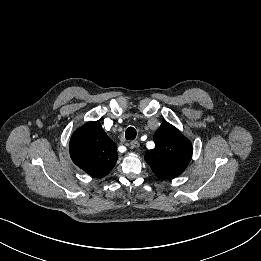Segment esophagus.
I'll use <instances>...</instances> for the list:
<instances>
[{"mask_svg":"<svg viewBox=\"0 0 261 261\" xmlns=\"http://www.w3.org/2000/svg\"><path fill=\"white\" fill-rule=\"evenodd\" d=\"M130 145H131L132 148H139V146H140V144H139L138 141H132V142L130 143Z\"/></svg>","mask_w":261,"mask_h":261,"instance_id":"esophagus-1","label":"esophagus"}]
</instances>
